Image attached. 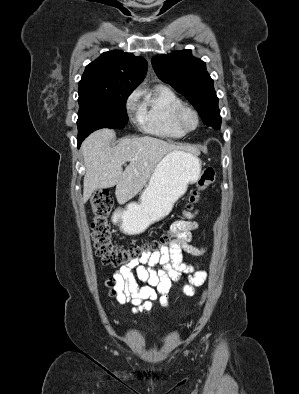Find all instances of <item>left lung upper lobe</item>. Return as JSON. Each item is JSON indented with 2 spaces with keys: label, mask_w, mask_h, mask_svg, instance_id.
Masks as SVG:
<instances>
[{
  "label": "left lung upper lobe",
  "mask_w": 299,
  "mask_h": 394,
  "mask_svg": "<svg viewBox=\"0 0 299 394\" xmlns=\"http://www.w3.org/2000/svg\"><path fill=\"white\" fill-rule=\"evenodd\" d=\"M151 63L159 79L184 95L198 111L204 124L220 129L222 119L218 97L205 62L194 58L191 50H182L157 55Z\"/></svg>",
  "instance_id": "left-lung-upper-lobe-1"
}]
</instances>
